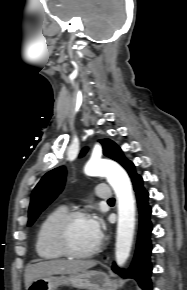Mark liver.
<instances>
[{"label": "liver", "instance_id": "liver-1", "mask_svg": "<svg viewBox=\"0 0 187 290\" xmlns=\"http://www.w3.org/2000/svg\"><path fill=\"white\" fill-rule=\"evenodd\" d=\"M96 264L97 262L92 260H50L30 264L25 269V287L27 289L33 280L40 277L73 274L94 267Z\"/></svg>", "mask_w": 187, "mask_h": 290}]
</instances>
